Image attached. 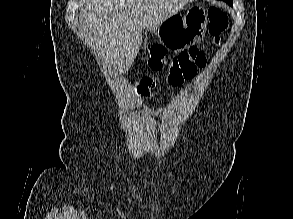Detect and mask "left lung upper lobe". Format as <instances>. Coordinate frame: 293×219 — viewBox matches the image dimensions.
<instances>
[{
    "instance_id": "obj_1",
    "label": "left lung upper lobe",
    "mask_w": 293,
    "mask_h": 219,
    "mask_svg": "<svg viewBox=\"0 0 293 219\" xmlns=\"http://www.w3.org/2000/svg\"><path fill=\"white\" fill-rule=\"evenodd\" d=\"M225 2H227L228 4L232 5L233 4V1L232 0H223Z\"/></svg>"
}]
</instances>
